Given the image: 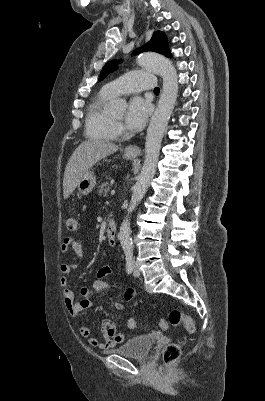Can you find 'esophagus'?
Listing matches in <instances>:
<instances>
[{"label":"esophagus","instance_id":"obj_1","mask_svg":"<svg viewBox=\"0 0 265 401\" xmlns=\"http://www.w3.org/2000/svg\"><path fill=\"white\" fill-rule=\"evenodd\" d=\"M125 152L132 157H137L141 153V149L136 145H129L125 148Z\"/></svg>","mask_w":265,"mask_h":401}]
</instances>
